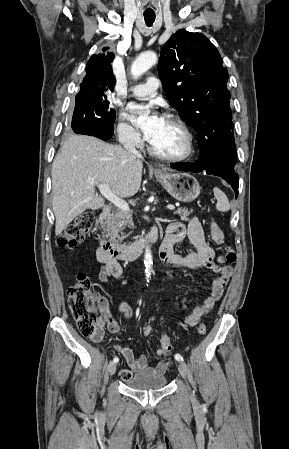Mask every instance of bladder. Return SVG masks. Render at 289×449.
Returning <instances> with one entry per match:
<instances>
[{"mask_svg":"<svg viewBox=\"0 0 289 449\" xmlns=\"http://www.w3.org/2000/svg\"><path fill=\"white\" fill-rule=\"evenodd\" d=\"M165 375L139 373L125 381V385L135 390L160 389L167 385Z\"/></svg>","mask_w":289,"mask_h":449,"instance_id":"31cf9c89","label":"bladder"}]
</instances>
